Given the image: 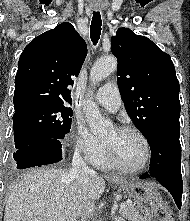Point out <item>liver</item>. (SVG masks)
Returning <instances> with one entry per match:
<instances>
[{"label":"liver","instance_id":"6515ba94","mask_svg":"<svg viewBox=\"0 0 190 221\" xmlns=\"http://www.w3.org/2000/svg\"><path fill=\"white\" fill-rule=\"evenodd\" d=\"M104 189L95 173L83 185L67 169H32L10 187L4 221H78L87 202L94 205Z\"/></svg>","mask_w":190,"mask_h":221}]
</instances>
